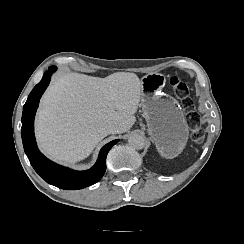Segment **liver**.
<instances>
[{"instance_id": "obj_1", "label": "liver", "mask_w": 244, "mask_h": 244, "mask_svg": "<svg viewBox=\"0 0 244 244\" xmlns=\"http://www.w3.org/2000/svg\"><path fill=\"white\" fill-rule=\"evenodd\" d=\"M141 81L135 73L105 78L66 73L43 95L35 119L39 149L51 160L75 164L87 158L106 136L107 123L127 132L135 123Z\"/></svg>"}]
</instances>
